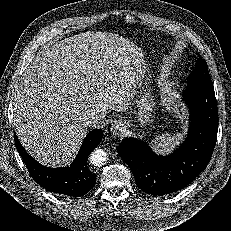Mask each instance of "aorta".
<instances>
[{
    "label": "aorta",
    "instance_id": "762f6f07",
    "mask_svg": "<svg viewBox=\"0 0 231 231\" xmlns=\"http://www.w3.org/2000/svg\"><path fill=\"white\" fill-rule=\"evenodd\" d=\"M108 158L107 153L103 149H96L91 153L90 162L94 166H102Z\"/></svg>",
    "mask_w": 231,
    "mask_h": 231
}]
</instances>
